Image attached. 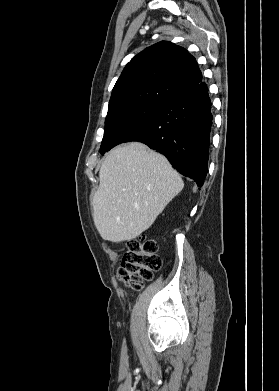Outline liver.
<instances>
[{
    "label": "liver",
    "mask_w": 279,
    "mask_h": 391,
    "mask_svg": "<svg viewBox=\"0 0 279 391\" xmlns=\"http://www.w3.org/2000/svg\"><path fill=\"white\" fill-rule=\"evenodd\" d=\"M99 181L92 202L94 224L104 240L115 243L141 235L184 187L169 161L139 142L112 150Z\"/></svg>",
    "instance_id": "6515ba94"
}]
</instances>
